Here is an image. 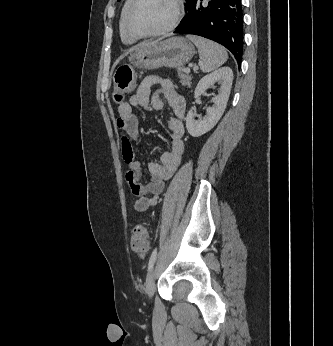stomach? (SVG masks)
<instances>
[{
    "label": "stomach",
    "mask_w": 333,
    "mask_h": 346,
    "mask_svg": "<svg viewBox=\"0 0 333 346\" xmlns=\"http://www.w3.org/2000/svg\"><path fill=\"white\" fill-rule=\"evenodd\" d=\"M195 53V47L189 40L184 37H172L140 46L130 55L129 61L134 67L145 70L161 67L181 68Z\"/></svg>",
    "instance_id": "stomach-1"
}]
</instances>
